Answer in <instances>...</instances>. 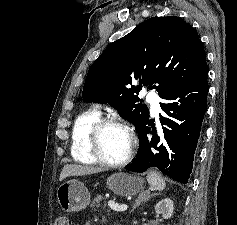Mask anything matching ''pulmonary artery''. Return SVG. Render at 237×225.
Listing matches in <instances>:
<instances>
[{
	"label": "pulmonary artery",
	"mask_w": 237,
	"mask_h": 225,
	"mask_svg": "<svg viewBox=\"0 0 237 225\" xmlns=\"http://www.w3.org/2000/svg\"><path fill=\"white\" fill-rule=\"evenodd\" d=\"M147 101L151 105V109L154 115H157L160 111L159 98L155 93H150L147 96Z\"/></svg>",
	"instance_id": "e3ab8cb5"
}]
</instances>
